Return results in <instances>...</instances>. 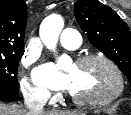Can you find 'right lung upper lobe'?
Listing matches in <instances>:
<instances>
[{
    "label": "right lung upper lobe",
    "instance_id": "1",
    "mask_svg": "<svg viewBox=\"0 0 131 115\" xmlns=\"http://www.w3.org/2000/svg\"><path fill=\"white\" fill-rule=\"evenodd\" d=\"M26 20L23 0L0 1V54L22 51Z\"/></svg>",
    "mask_w": 131,
    "mask_h": 115
}]
</instances>
